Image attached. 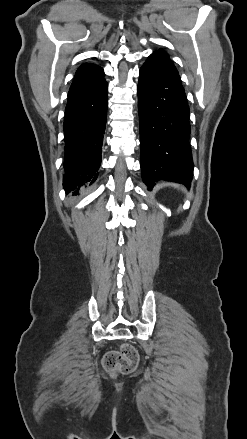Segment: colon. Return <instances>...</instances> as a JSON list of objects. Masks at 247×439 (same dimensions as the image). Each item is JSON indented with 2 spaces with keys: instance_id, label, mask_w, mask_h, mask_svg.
<instances>
[{
  "instance_id": "1",
  "label": "colon",
  "mask_w": 247,
  "mask_h": 439,
  "mask_svg": "<svg viewBox=\"0 0 247 439\" xmlns=\"http://www.w3.org/2000/svg\"><path fill=\"white\" fill-rule=\"evenodd\" d=\"M138 352L128 343L119 350H112L103 357V366L110 373L129 374L138 364Z\"/></svg>"
}]
</instances>
